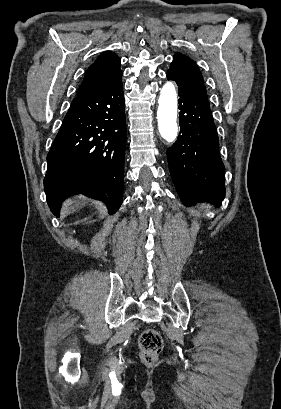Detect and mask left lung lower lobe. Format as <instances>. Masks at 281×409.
<instances>
[{
    "instance_id": "0a47b994",
    "label": "left lung lower lobe",
    "mask_w": 281,
    "mask_h": 409,
    "mask_svg": "<svg viewBox=\"0 0 281 409\" xmlns=\"http://www.w3.org/2000/svg\"><path fill=\"white\" fill-rule=\"evenodd\" d=\"M179 125L177 141L167 150L169 170L184 205L207 201L219 206L225 197L224 165L207 96L177 78Z\"/></svg>"
}]
</instances>
